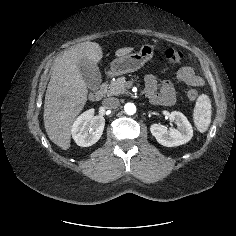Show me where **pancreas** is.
<instances>
[{
  "mask_svg": "<svg viewBox=\"0 0 236 236\" xmlns=\"http://www.w3.org/2000/svg\"><path fill=\"white\" fill-rule=\"evenodd\" d=\"M105 92L107 96L127 93L125 77L117 78L108 85H105Z\"/></svg>",
  "mask_w": 236,
  "mask_h": 236,
  "instance_id": "1",
  "label": "pancreas"
}]
</instances>
